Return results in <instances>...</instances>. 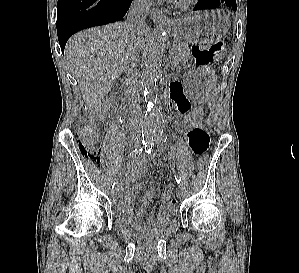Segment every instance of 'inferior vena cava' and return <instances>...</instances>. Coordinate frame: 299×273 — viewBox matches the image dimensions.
Listing matches in <instances>:
<instances>
[{
  "label": "inferior vena cava",
  "instance_id": "obj_1",
  "mask_svg": "<svg viewBox=\"0 0 299 273\" xmlns=\"http://www.w3.org/2000/svg\"><path fill=\"white\" fill-rule=\"evenodd\" d=\"M150 0H133L131 7L127 14V25L132 34L145 29L146 18L149 14ZM139 52L137 49L132 48L130 51L129 63L125 70L127 73V88L131 94V112L136 116H140V95L138 93V73L136 64L138 61ZM138 129V126H135Z\"/></svg>",
  "mask_w": 299,
  "mask_h": 273
}]
</instances>
